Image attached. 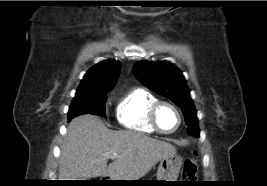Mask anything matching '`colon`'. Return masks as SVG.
<instances>
[{"instance_id":"obj_1","label":"colon","mask_w":267,"mask_h":186,"mask_svg":"<svg viewBox=\"0 0 267 186\" xmlns=\"http://www.w3.org/2000/svg\"><path fill=\"white\" fill-rule=\"evenodd\" d=\"M197 158L194 155L191 158H188L184 161L183 169H182V180L184 182H194L197 177Z\"/></svg>"}]
</instances>
